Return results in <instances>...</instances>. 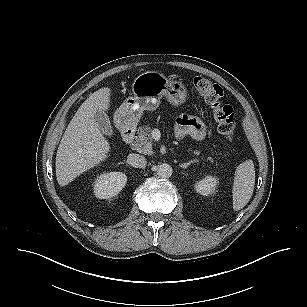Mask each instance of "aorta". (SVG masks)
<instances>
[{"label":"aorta","mask_w":307,"mask_h":307,"mask_svg":"<svg viewBox=\"0 0 307 307\" xmlns=\"http://www.w3.org/2000/svg\"><path fill=\"white\" fill-rule=\"evenodd\" d=\"M157 175L160 178H169L172 175V167L167 163L158 165Z\"/></svg>","instance_id":"aorta-1"}]
</instances>
